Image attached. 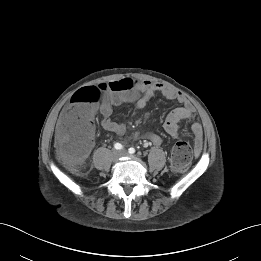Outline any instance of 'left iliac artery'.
Segmentation results:
<instances>
[{"label": "left iliac artery", "instance_id": "1", "mask_svg": "<svg viewBox=\"0 0 261 261\" xmlns=\"http://www.w3.org/2000/svg\"><path fill=\"white\" fill-rule=\"evenodd\" d=\"M128 152L130 154H134L136 152V150L133 147H131V148L128 149Z\"/></svg>", "mask_w": 261, "mask_h": 261}]
</instances>
